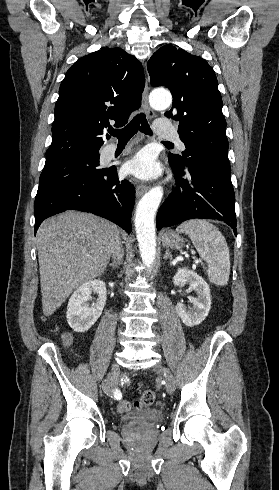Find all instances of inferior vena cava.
<instances>
[{
    "label": "inferior vena cava",
    "mask_w": 279,
    "mask_h": 490,
    "mask_svg": "<svg viewBox=\"0 0 279 490\" xmlns=\"http://www.w3.org/2000/svg\"><path fill=\"white\" fill-rule=\"evenodd\" d=\"M120 238L116 240L113 246V252H111V258L114 260V264H121L123 260V248H121V242H119Z\"/></svg>",
    "instance_id": "obj_1"
}]
</instances>
